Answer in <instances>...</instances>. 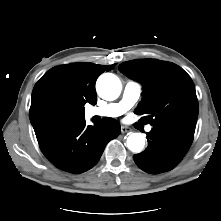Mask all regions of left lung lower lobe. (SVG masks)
<instances>
[{"label":"left lung lower lobe","instance_id":"0a47b994","mask_svg":"<svg viewBox=\"0 0 221 221\" xmlns=\"http://www.w3.org/2000/svg\"><path fill=\"white\" fill-rule=\"evenodd\" d=\"M148 135V147L135 154L136 165L150 174L172 170L183 159L193 138L166 127H153Z\"/></svg>","mask_w":221,"mask_h":221}]
</instances>
